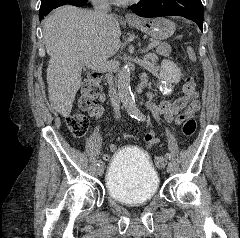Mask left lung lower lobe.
Listing matches in <instances>:
<instances>
[{"instance_id":"0a47b994","label":"left lung lower lobe","mask_w":240,"mask_h":238,"mask_svg":"<svg viewBox=\"0 0 240 238\" xmlns=\"http://www.w3.org/2000/svg\"><path fill=\"white\" fill-rule=\"evenodd\" d=\"M141 17L182 16L202 30L204 10L201 0H140L129 7Z\"/></svg>"}]
</instances>
